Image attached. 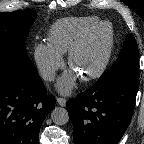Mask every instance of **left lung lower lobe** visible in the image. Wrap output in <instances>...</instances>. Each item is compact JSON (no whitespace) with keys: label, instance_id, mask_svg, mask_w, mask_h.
Here are the masks:
<instances>
[{"label":"left lung lower lobe","instance_id":"1","mask_svg":"<svg viewBox=\"0 0 144 144\" xmlns=\"http://www.w3.org/2000/svg\"><path fill=\"white\" fill-rule=\"evenodd\" d=\"M139 80L107 87L99 81L67 101L74 144H117L132 118Z\"/></svg>","mask_w":144,"mask_h":144}]
</instances>
